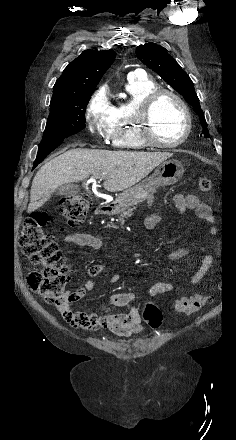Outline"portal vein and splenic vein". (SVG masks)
<instances>
[{
    "instance_id": "1",
    "label": "portal vein and splenic vein",
    "mask_w": 236,
    "mask_h": 440,
    "mask_svg": "<svg viewBox=\"0 0 236 440\" xmlns=\"http://www.w3.org/2000/svg\"><path fill=\"white\" fill-rule=\"evenodd\" d=\"M95 181V179L94 178H91L90 180H89V182H94Z\"/></svg>"
}]
</instances>
